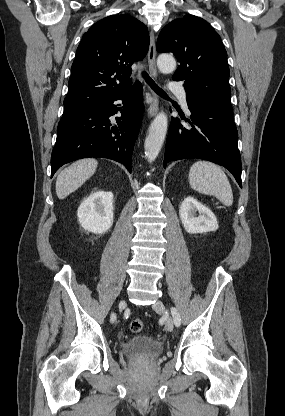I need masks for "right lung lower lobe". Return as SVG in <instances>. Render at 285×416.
<instances>
[{"label": "right lung lower lobe", "mask_w": 285, "mask_h": 416, "mask_svg": "<svg viewBox=\"0 0 285 416\" xmlns=\"http://www.w3.org/2000/svg\"><path fill=\"white\" fill-rule=\"evenodd\" d=\"M123 101L118 108L113 102ZM121 117L112 125L109 117L116 111ZM143 113L142 85L137 83L113 99L65 110L57 128V140L51 156L52 175L64 164L88 158H108L122 163L131 172L132 153Z\"/></svg>", "instance_id": "obj_1"}]
</instances>
